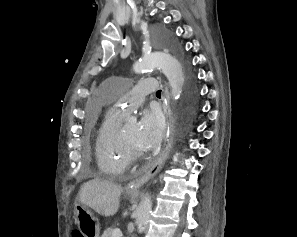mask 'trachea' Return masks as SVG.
<instances>
[{"mask_svg":"<svg viewBox=\"0 0 297 237\" xmlns=\"http://www.w3.org/2000/svg\"><path fill=\"white\" fill-rule=\"evenodd\" d=\"M156 95H157V96H160V95H161V90H158V91L156 92Z\"/></svg>","mask_w":297,"mask_h":237,"instance_id":"3493384b","label":"trachea"}]
</instances>
